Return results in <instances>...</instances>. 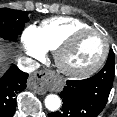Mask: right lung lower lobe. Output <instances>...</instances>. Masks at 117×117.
<instances>
[{
    "label": "right lung lower lobe",
    "instance_id": "1",
    "mask_svg": "<svg viewBox=\"0 0 117 117\" xmlns=\"http://www.w3.org/2000/svg\"><path fill=\"white\" fill-rule=\"evenodd\" d=\"M28 74L12 65L0 78V117H12L16 109V95L26 88Z\"/></svg>",
    "mask_w": 117,
    "mask_h": 117
}]
</instances>
